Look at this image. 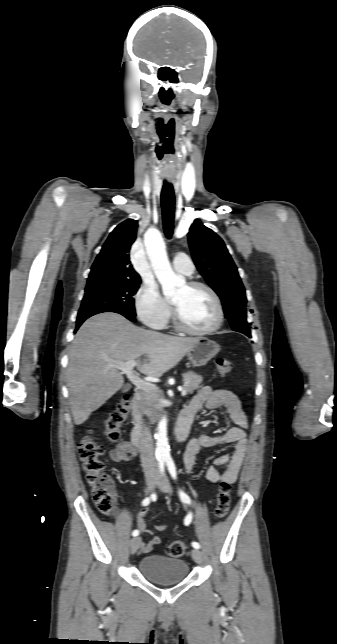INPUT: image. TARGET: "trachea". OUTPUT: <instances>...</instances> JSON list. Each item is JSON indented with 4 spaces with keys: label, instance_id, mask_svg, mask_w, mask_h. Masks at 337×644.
<instances>
[{
    "label": "trachea",
    "instance_id": "3493384b",
    "mask_svg": "<svg viewBox=\"0 0 337 644\" xmlns=\"http://www.w3.org/2000/svg\"><path fill=\"white\" fill-rule=\"evenodd\" d=\"M174 205L175 197L173 186L169 182H164L161 192V207L163 218V229L167 238H171L174 229Z\"/></svg>",
    "mask_w": 337,
    "mask_h": 644
}]
</instances>
